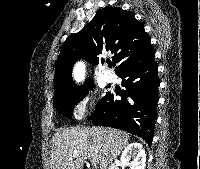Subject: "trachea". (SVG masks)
I'll use <instances>...</instances> for the list:
<instances>
[{
    "mask_svg": "<svg viewBox=\"0 0 200 169\" xmlns=\"http://www.w3.org/2000/svg\"><path fill=\"white\" fill-rule=\"evenodd\" d=\"M108 66L111 68L112 66H114V64L113 63H108Z\"/></svg>",
    "mask_w": 200,
    "mask_h": 169,
    "instance_id": "1",
    "label": "trachea"
}]
</instances>
